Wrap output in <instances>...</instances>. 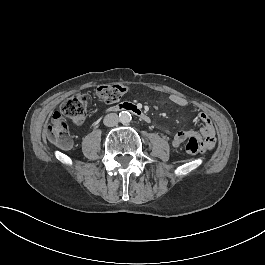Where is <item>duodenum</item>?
Returning <instances> with one entry per match:
<instances>
[{
  "instance_id": "1",
  "label": "duodenum",
  "mask_w": 265,
  "mask_h": 265,
  "mask_svg": "<svg viewBox=\"0 0 265 265\" xmlns=\"http://www.w3.org/2000/svg\"><path fill=\"white\" fill-rule=\"evenodd\" d=\"M113 111L114 112L129 111L135 114L136 116H138L143 121L147 123L151 122L150 115L134 103H129V102L120 103L113 108Z\"/></svg>"
}]
</instances>
